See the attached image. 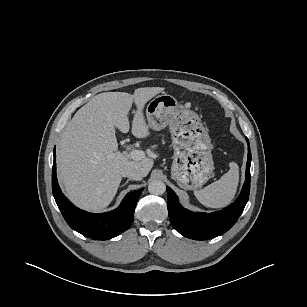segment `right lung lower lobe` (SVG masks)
Returning <instances> with one entry per match:
<instances>
[{
    "label": "right lung lower lobe",
    "mask_w": 307,
    "mask_h": 307,
    "mask_svg": "<svg viewBox=\"0 0 307 307\" xmlns=\"http://www.w3.org/2000/svg\"><path fill=\"white\" fill-rule=\"evenodd\" d=\"M52 191L55 201L68 225L80 234L106 240L127 230L134 218V210L142 189L128 193L115 210L94 214L75 207L61 192L56 176V151L52 168Z\"/></svg>",
    "instance_id": "1"
}]
</instances>
